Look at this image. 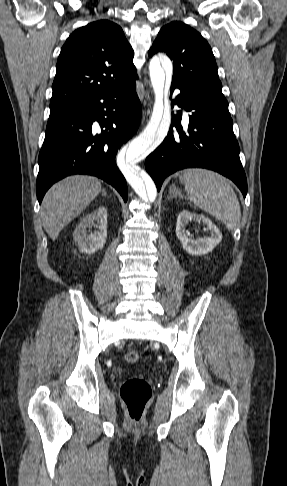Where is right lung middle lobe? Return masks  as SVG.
I'll use <instances>...</instances> for the list:
<instances>
[{
	"instance_id": "right-lung-middle-lobe-1",
	"label": "right lung middle lobe",
	"mask_w": 287,
	"mask_h": 486,
	"mask_svg": "<svg viewBox=\"0 0 287 486\" xmlns=\"http://www.w3.org/2000/svg\"><path fill=\"white\" fill-rule=\"evenodd\" d=\"M55 113H58V112H50V115H51V114H55Z\"/></svg>"
}]
</instances>
